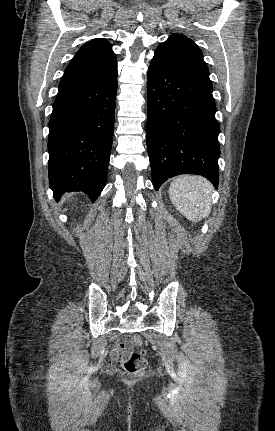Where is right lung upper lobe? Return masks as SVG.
Returning a JSON list of instances; mask_svg holds the SVG:
<instances>
[{
    "label": "right lung upper lobe",
    "mask_w": 275,
    "mask_h": 431,
    "mask_svg": "<svg viewBox=\"0 0 275 431\" xmlns=\"http://www.w3.org/2000/svg\"><path fill=\"white\" fill-rule=\"evenodd\" d=\"M117 69L116 55L106 39L84 44L70 61L59 89L84 85L105 78Z\"/></svg>",
    "instance_id": "right-lung-upper-lobe-1"
}]
</instances>
